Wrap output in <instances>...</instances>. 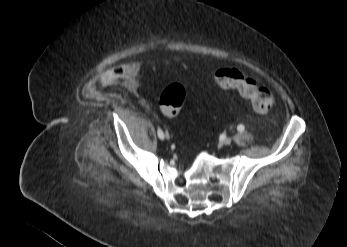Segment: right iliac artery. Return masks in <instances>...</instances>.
Wrapping results in <instances>:
<instances>
[{"label": "right iliac artery", "mask_w": 347, "mask_h": 247, "mask_svg": "<svg viewBox=\"0 0 347 247\" xmlns=\"http://www.w3.org/2000/svg\"><path fill=\"white\" fill-rule=\"evenodd\" d=\"M157 133H158V137L160 139H164V133H163V131L160 128H158Z\"/></svg>", "instance_id": "82829eb1"}]
</instances>
